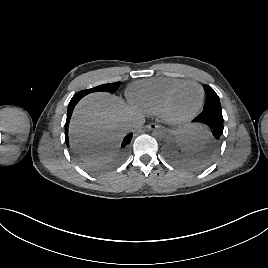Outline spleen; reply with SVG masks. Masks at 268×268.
<instances>
[{
    "mask_svg": "<svg viewBox=\"0 0 268 268\" xmlns=\"http://www.w3.org/2000/svg\"><path fill=\"white\" fill-rule=\"evenodd\" d=\"M184 138L190 146L196 149L205 147L208 142V132L205 124L200 121L191 123L185 130Z\"/></svg>",
    "mask_w": 268,
    "mask_h": 268,
    "instance_id": "spleen-1",
    "label": "spleen"
}]
</instances>
